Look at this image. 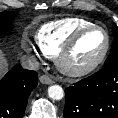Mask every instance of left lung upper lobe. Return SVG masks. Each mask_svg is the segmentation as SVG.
Segmentation results:
<instances>
[{
  "label": "left lung upper lobe",
  "mask_w": 118,
  "mask_h": 118,
  "mask_svg": "<svg viewBox=\"0 0 118 118\" xmlns=\"http://www.w3.org/2000/svg\"><path fill=\"white\" fill-rule=\"evenodd\" d=\"M112 32L114 35V41L112 44L111 52L105 61L104 67L115 63H118V27L113 23Z\"/></svg>",
  "instance_id": "1"
}]
</instances>
